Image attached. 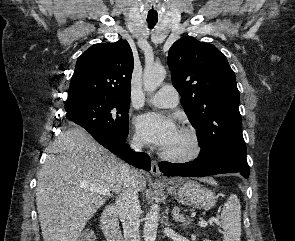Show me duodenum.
Wrapping results in <instances>:
<instances>
[{
    "instance_id": "obj_1",
    "label": "duodenum",
    "mask_w": 295,
    "mask_h": 241,
    "mask_svg": "<svg viewBox=\"0 0 295 241\" xmlns=\"http://www.w3.org/2000/svg\"><path fill=\"white\" fill-rule=\"evenodd\" d=\"M101 227L108 241H123L114 207L105 208L101 217Z\"/></svg>"
}]
</instances>
